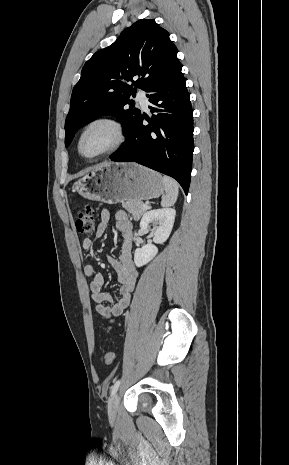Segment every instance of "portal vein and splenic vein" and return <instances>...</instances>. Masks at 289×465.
Wrapping results in <instances>:
<instances>
[{
    "mask_svg": "<svg viewBox=\"0 0 289 465\" xmlns=\"http://www.w3.org/2000/svg\"><path fill=\"white\" fill-rule=\"evenodd\" d=\"M143 209H148V205H147V204H143Z\"/></svg>",
    "mask_w": 289,
    "mask_h": 465,
    "instance_id": "1",
    "label": "portal vein and splenic vein"
}]
</instances>
